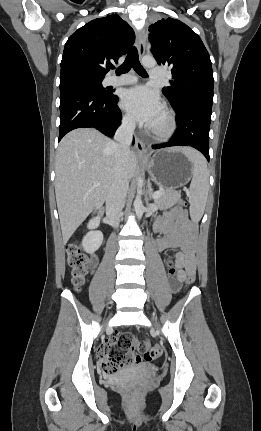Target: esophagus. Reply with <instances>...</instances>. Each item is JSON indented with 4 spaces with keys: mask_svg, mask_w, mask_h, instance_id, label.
Wrapping results in <instances>:
<instances>
[{
    "mask_svg": "<svg viewBox=\"0 0 261 431\" xmlns=\"http://www.w3.org/2000/svg\"><path fill=\"white\" fill-rule=\"evenodd\" d=\"M137 48H138L139 56L143 57L145 54V49H146V34H145V32H140L137 34ZM135 148H136V151L139 155H145V153H146L145 143L138 137L136 138Z\"/></svg>",
    "mask_w": 261,
    "mask_h": 431,
    "instance_id": "esophagus-1",
    "label": "esophagus"
}]
</instances>
